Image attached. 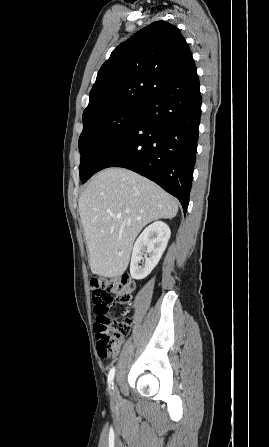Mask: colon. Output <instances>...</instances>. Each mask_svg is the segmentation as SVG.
I'll use <instances>...</instances> for the list:
<instances>
[{"instance_id": "1", "label": "colon", "mask_w": 269, "mask_h": 447, "mask_svg": "<svg viewBox=\"0 0 269 447\" xmlns=\"http://www.w3.org/2000/svg\"><path fill=\"white\" fill-rule=\"evenodd\" d=\"M135 281L127 273L114 278L91 277L88 291L96 312L93 330L96 337L97 352L100 357L111 356L119 348L131 331L133 322L125 312L112 316V307L129 305Z\"/></svg>"}]
</instances>
